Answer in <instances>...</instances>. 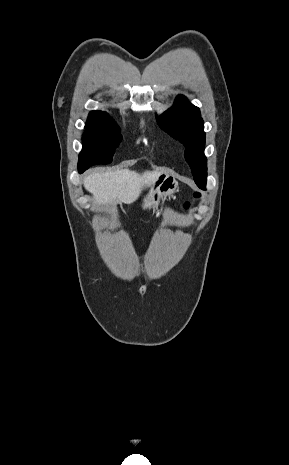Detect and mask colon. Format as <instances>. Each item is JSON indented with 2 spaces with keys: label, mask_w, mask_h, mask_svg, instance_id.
Masks as SVG:
<instances>
[{
  "label": "colon",
  "mask_w": 289,
  "mask_h": 465,
  "mask_svg": "<svg viewBox=\"0 0 289 465\" xmlns=\"http://www.w3.org/2000/svg\"><path fill=\"white\" fill-rule=\"evenodd\" d=\"M199 196H200V193H195L193 195V198H198ZM190 205H191V200L186 201L185 204H184L185 209H188L190 207Z\"/></svg>",
  "instance_id": "colon-1"
}]
</instances>
